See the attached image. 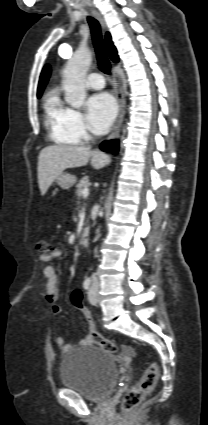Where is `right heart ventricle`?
Segmentation results:
<instances>
[{
  "label": "right heart ventricle",
  "instance_id": "1",
  "mask_svg": "<svg viewBox=\"0 0 208 425\" xmlns=\"http://www.w3.org/2000/svg\"><path fill=\"white\" fill-rule=\"evenodd\" d=\"M45 124L50 139L58 144L76 145L79 141L70 132L66 124V108L56 93H49L45 98Z\"/></svg>",
  "mask_w": 208,
  "mask_h": 425
}]
</instances>
